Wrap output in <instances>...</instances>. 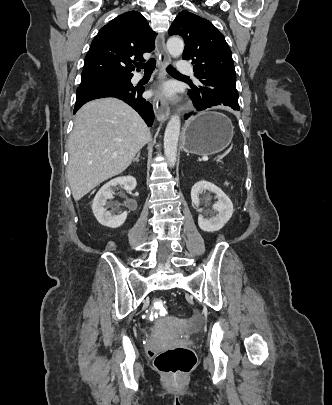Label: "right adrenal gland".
Instances as JSON below:
<instances>
[{
    "instance_id": "2a0ac1e0",
    "label": "right adrenal gland",
    "mask_w": 332,
    "mask_h": 405,
    "mask_svg": "<svg viewBox=\"0 0 332 405\" xmlns=\"http://www.w3.org/2000/svg\"><path fill=\"white\" fill-rule=\"evenodd\" d=\"M139 157H140V152L137 154V156L133 159V162H139Z\"/></svg>"
}]
</instances>
